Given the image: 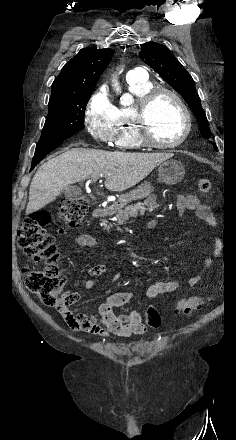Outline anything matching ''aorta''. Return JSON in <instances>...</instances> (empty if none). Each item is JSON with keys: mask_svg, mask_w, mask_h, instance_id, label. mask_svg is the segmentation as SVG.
<instances>
[{"mask_svg": "<svg viewBox=\"0 0 236 440\" xmlns=\"http://www.w3.org/2000/svg\"><path fill=\"white\" fill-rule=\"evenodd\" d=\"M113 82H114L113 86L115 87L116 91H120V87L118 86L117 80L114 79ZM120 103L122 105H124V106H128V105H130L132 103V97L130 95H126V96L121 98Z\"/></svg>", "mask_w": 236, "mask_h": 440, "instance_id": "1", "label": "aorta"}]
</instances>
